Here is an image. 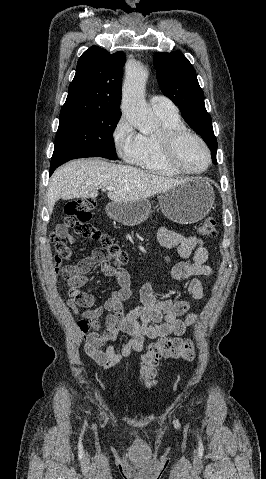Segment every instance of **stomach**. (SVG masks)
Here are the masks:
<instances>
[{
  "label": "stomach",
  "instance_id": "stomach-1",
  "mask_svg": "<svg viewBox=\"0 0 266 479\" xmlns=\"http://www.w3.org/2000/svg\"><path fill=\"white\" fill-rule=\"evenodd\" d=\"M162 213L171 221L179 224H192L203 219L214 204V190L205 180L188 179L159 197ZM107 214L124 225H135L145 221L150 214L148 200L111 202L106 207Z\"/></svg>",
  "mask_w": 266,
  "mask_h": 479
}]
</instances>
